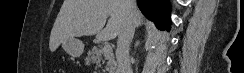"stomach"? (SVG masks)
<instances>
[{"mask_svg": "<svg viewBox=\"0 0 244 73\" xmlns=\"http://www.w3.org/2000/svg\"><path fill=\"white\" fill-rule=\"evenodd\" d=\"M62 48L73 57H80L84 51L82 41L72 38L62 42Z\"/></svg>", "mask_w": 244, "mask_h": 73, "instance_id": "0dacf381", "label": "stomach"}]
</instances>
